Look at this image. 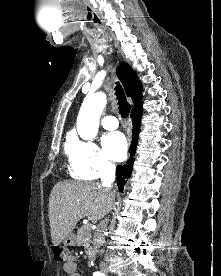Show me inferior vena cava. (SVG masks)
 <instances>
[{
    "label": "inferior vena cava",
    "instance_id": "1",
    "mask_svg": "<svg viewBox=\"0 0 221 276\" xmlns=\"http://www.w3.org/2000/svg\"><path fill=\"white\" fill-rule=\"evenodd\" d=\"M114 180H115V165L111 163H107L104 166V172L101 177L103 187L110 188ZM112 207H113L112 204L108 206L107 213H109L112 210ZM107 224H108V218L102 219L98 224L97 230L94 234L93 244L96 252H98V248L104 244V233L106 231Z\"/></svg>",
    "mask_w": 221,
    "mask_h": 276
}]
</instances>
